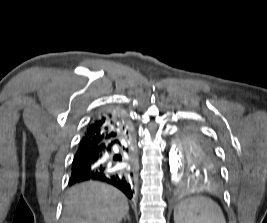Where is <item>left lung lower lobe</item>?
I'll list each match as a JSON object with an SVG mask.
<instances>
[{
    "label": "left lung lower lobe",
    "mask_w": 267,
    "mask_h": 223,
    "mask_svg": "<svg viewBox=\"0 0 267 223\" xmlns=\"http://www.w3.org/2000/svg\"><path fill=\"white\" fill-rule=\"evenodd\" d=\"M179 176H188L184 189H223L220 176L224 171H179Z\"/></svg>",
    "instance_id": "left-lung-lower-lobe-1"
}]
</instances>
